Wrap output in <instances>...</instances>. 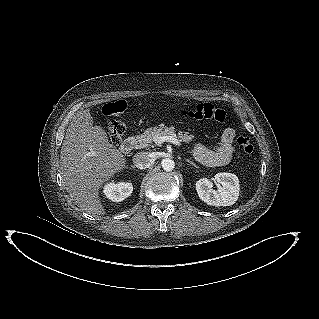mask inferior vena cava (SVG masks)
Segmentation results:
<instances>
[{"label":"inferior vena cava","instance_id":"602c4592","mask_svg":"<svg viewBox=\"0 0 319 319\" xmlns=\"http://www.w3.org/2000/svg\"><path fill=\"white\" fill-rule=\"evenodd\" d=\"M154 163V158L148 152H139L133 156V164L139 169H146Z\"/></svg>","mask_w":319,"mask_h":319}]
</instances>
